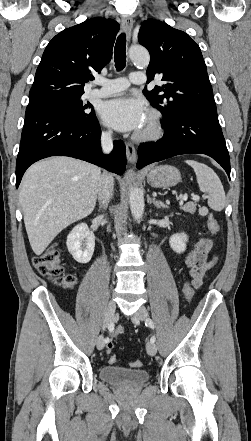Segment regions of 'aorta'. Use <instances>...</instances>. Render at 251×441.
<instances>
[{
  "instance_id": "1",
  "label": "aorta",
  "mask_w": 251,
  "mask_h": 441,
  "mask_svg": "<svg viewBox=\"0 0 251 441\" xmlns=\"http://www.w3.org/2000/svg\"><path fill=\"white\" fill-rule=\"evenodd\" d=\"M130 59L138 67H147L150 61L148 51L142 47H132L129 50ZM129 202L133 217L140 221L144 212V195L137 187L132 186L129 190Z\"/></svg>"
}]
</instances>
